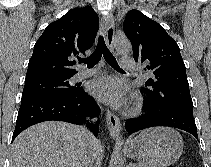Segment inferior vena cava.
<instances>
[{
    "label": "inferior vena cava",
    "mask_w": 211,
    "mask_h": 167,
    "mask_svg": "<svg viewBox=\"0 0 211 167\" xmlns=\"http://www.w3.org/2000/svg\"><path fill=\"white\" fill-rule=\"evenodd\" d=\"M93 137V136H92ZM94 141L96 139L93 137ZM95 149L88 150L85 154L84 161H83V167H91L92 161H93V156H95Z\"/></svg>",
    "instance_id": "inferior-vena-cava-1"
}]
</instances>
